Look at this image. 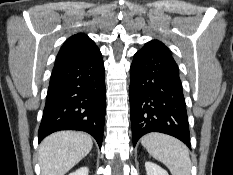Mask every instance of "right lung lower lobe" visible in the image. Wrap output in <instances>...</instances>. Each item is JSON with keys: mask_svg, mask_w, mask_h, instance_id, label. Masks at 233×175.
Segmentation results:
<instances>
[{"mask_svg": "<svg viewBox=\"0 0 233 175\" xmlns=\"http://www.w3.org/2000/svg\"><path fill=\"white\" fill-rule=\"evenodd\" d=\"M105 71L100 51L53 68L38 138L60 130L91 134L101 148L105 121Z\"/></svg>", "mask_w": 233, "mask_h": 175, "instance_id": "1", "label": "right lung lower lobe"}]
</instances>
